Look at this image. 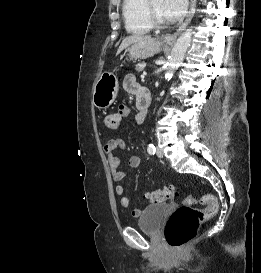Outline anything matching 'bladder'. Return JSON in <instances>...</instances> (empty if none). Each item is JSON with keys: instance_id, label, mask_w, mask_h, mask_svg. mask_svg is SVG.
Here are the masks:
<instances>
[{"instance_id": "bladder-1", "label": "bladder", "mask_w": 261, "mask_h": 273, "mask_svg": "<svg viewBox=\"0 0 261 273\" xmlns=\"http://www.w3.org/2000/svg\"><path fill=\"white\" fill-rule=\"evenodd\" d=\"M168 211L169 206L165 203L146 206L138 219V227L145 233H159Z\"/></svg>"}]
</instances>
